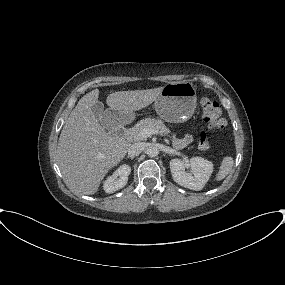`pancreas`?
Wrapping results in <instances>:
<instances>
[{
  "mask_svg": "<svg viewBox=\"0 0 285 285\" xmlns=\"http://www.w3.org/2000/svg\"><path fill=\"white\" fill-rule=\"evenodd\" d=\"M144 128H152L158 130L159 133L166 135L169 133V129L165 126L164 122L160 119L145 118L140 120L134 127L129 128L126 131V136L131 141L144 140L139 136V133Z\"/></svg>",
  "mask_w": 285,
  "mask_h": 285,
  "instance_id": "pancreas-1",
  "label": "pancreas"
}]
</instances>
